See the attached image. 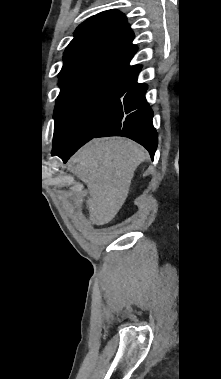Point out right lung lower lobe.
<instances>
[{"mask_svg": "<svg viewBox=\"0 0 221 379\" xmlns=\"http://www.w3.org/2000/svg\"><path fill=\"white\" fill-rule=\"evenodd\" d=\"M140 69L121 82L120 99L101 129L92 137L125 136L143 145L153 158L158 138L152 124L153 111L149 107L145 92L147 86L137 83ZM91 138V139H92ZM90 139L79 142H64L59 139L53 143V155L64 162Z\"/></svg>", "mask_w": 221, "mask_h": 379, "instance_id": "obj_1", "label": "right lung lower lobe"}]
</instances>
